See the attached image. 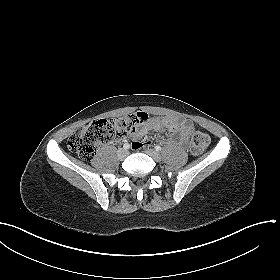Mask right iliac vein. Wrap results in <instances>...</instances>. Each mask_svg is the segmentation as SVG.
<instances>
[{"label":"right iliac vein","mask_w":280,"mask_h":280,"mask_svg":"<svg viewBox=\"0 0 280 280\" xmlns=\"http://www.w3.org/2000/svg\"><path fill=\"white\" fill-rule=\"evenodd\" d=\"M117 155H118V158H119V159L123 160V159H125V158L127 157L128 151L125 150V149H120V150L118 151Z\"/></svg>","instance_id":"obj_1"}]
</instances>
